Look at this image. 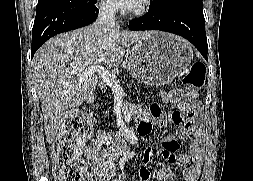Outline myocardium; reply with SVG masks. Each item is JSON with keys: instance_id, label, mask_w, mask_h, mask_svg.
Masks as SVG:
<instances>
[{"instance_id": "obj_1", "label": "myocardium", "mask_w": 253, "mask_h": 181, "mask_svg": "<svg viewBox=\"0 0 253 181\" xmlns=\"http://www.w3.org/2000/svg\"><path fill=\"white\" fill-rule=\"evenodd\" d=\"M151 8V0H141L139 6L130 11V15L136 18L145 16Z\"/></svg>"}]
</instances>
